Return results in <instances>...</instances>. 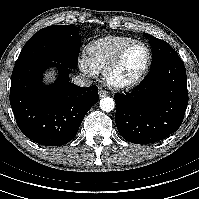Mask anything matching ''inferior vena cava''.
<instances>
[{
    "instance_id": "inferior-vena-cava-1",
    "label": "inferior vena cava",
    "mask_w": 199,
    "mask_h": 199,
    "mask_svg": "<svg viewBox=\"0 0 199 199\" xmlns=\"http://www.w3.org/2000/svg\"><path fill=\"white\" fill-rule=\"evenodd\" d=\"M74 83L80 87H89L92 85L93 81L90 77L85 74H80L73 78Z\"/></svg>"
}]
</instances>
